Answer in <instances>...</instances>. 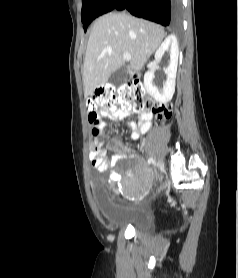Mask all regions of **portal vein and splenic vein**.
Listing matches in <instances>:
<instances>
[{"label":"portal vein and splenic vein","instance_id":"18ae733b","mask_svg":"<svg viewBox=\"0 0 238 278\" xmlns=\"http://www.w3.org/2000/svg\"><path fill=\"white\" fill-rule=\"evenodd\" d=\"M123 58L127 61H130L131 60V55L130 53H127V52H124L123 53Z\"/></svg>","mask_w":238,"mask_h":278}]
</instances>
